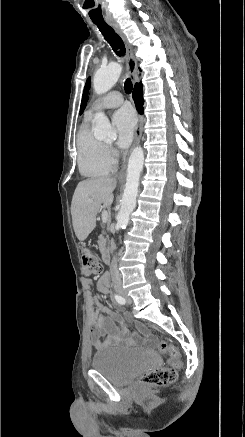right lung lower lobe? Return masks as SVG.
<instances>
[{
    "label": "right lung lower lobe",
    "instance_id": "1",
    "mask_svg": "<svg viewBox=\"0 0 245 437\" xmlns=\"http://www.w3.org/2000/svg\"><path fill=\"white\" fill-rule=\"evenodd\" d=\"M133 99H134V102L136 105V109L138 110V112L140 114H143L144 100H143V91H142V84L141 83L135 84V88L133 91Z\"/></svg>",
    "mask_w": 245,
    "mask_h": 437
}]
</instances>
